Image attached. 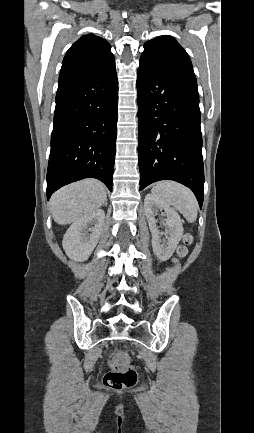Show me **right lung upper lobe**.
<instances>
[{"mask_svg":"<svg viewBox=\"0 0 254 433\" xmlns=\"http://www.w3.org/2000/svg\"><path fill=\"white\" fill-rule=\"evenodd\" d=\"M110 44L92 34L82 36L67 51L59 78L103 70L113 63L114 56Z\"/></svg>","mask_w":254,"mask_h":433,"instance_id":"obj_1","label":"right lung upper lobe"}]
</instances>
